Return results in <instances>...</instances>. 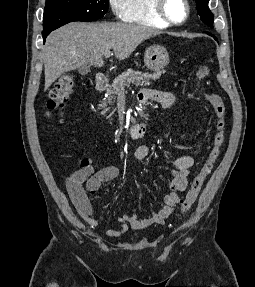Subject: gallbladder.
Wrapping results in <instances>:
<instances>
[{"mask_svg":"<svg viewBox=\"0 0 255 287\" xmlns=\"http://www.w3.org/2000/svg\"><path fill=\"white\" fill-rule=\"evenodd\" d=\"M90 68H79V74H88Z\"/></svg>","mask_w":255,"mask_h":287,"instance_id":"obj_1","label":"gallbladder"}]
</instances>
